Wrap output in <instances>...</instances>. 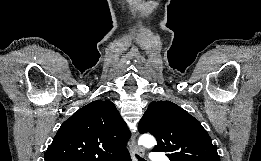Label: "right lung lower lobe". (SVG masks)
<instances>
[{
    "instance_id": "right-lung-lower-lobe-1",
    "label": "right lung lower lobe",
    "mask_w": 261,
    "mask_h": 161,
    "mask_svg": "<svg viewBox=\"0 0 261 161\" xmlns=\"http://www.w3.org/2000/svg\"><path fill=\"white\" fill-rule=\"evenodd\" d=\"M109 161H131L129 152L121 153L116 155L114 158Z\"/></svg>"
}]
</instances>
